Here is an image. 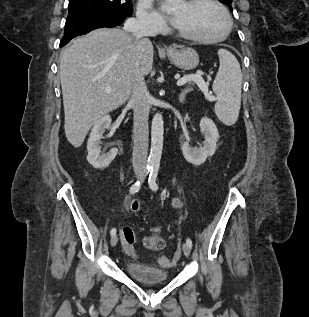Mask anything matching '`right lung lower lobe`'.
Instances as JSON below:
<instances>
[{"label": "right lung lower lobe", "instance_id": "obj_1", "mask_svg": "<svg viewBox=\"0 0 309 317\" xmlns=\"http://www.w3.org/2000/svg\"><path fill=\"white\" fill-rule=\"evenodd\" d=\"M126 18L127 16L102 11H69L60 47H63L74 37L86 34L93 29L118 26Z\"/></svg>", "mask_w": 309, "mask_h": 317}]
</instances>
